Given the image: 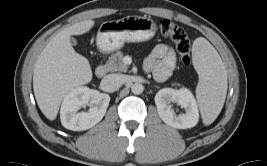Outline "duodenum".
Here are the masks:
<instances>
[{"label": "duodenum", "instance_id": "obj_1", "mask_svg": "<svg viewBox=\"0 0 267 166\" xmlns=\"http://www.w3.org/2000/svg\"><path fill=\"white\" fill-rule=\"evenodd\" d=\"M107 68L104 64L98 65V67L95 70V75L97 78H103L106 75Z\"/></svg>", "mask_w": 267, "mask_h": 166}]
</instances>
